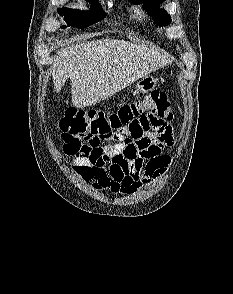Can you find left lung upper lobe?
I'll use <instances>...</instances> for the list:
<instances>
[{"mask_svg":"<svg viewBox=\"0 0 233 294\" xmlns=\"http://www.w3.org/2000/svg\"><path fill=\"white\" fill-rule=\"evenodd\" d=\"M135 4L143 3V7L148 13L156 19L159 25L166 26L171 22L170 15L163 9L159 8V5L164 0H133Z\"/></svg>","mask_w":233,"mask_h":294,"instance_id":"left-lung-upper-lobe-1","label":"left lung upper lobe"}]
</instances>
